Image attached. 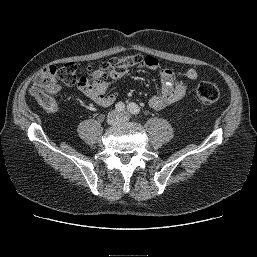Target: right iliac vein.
<instances>
[{
  "mask_svg": "<svg viewBox=\"0 0 257 257\" xmlns=\"http://www.w3.org/2000/svg\"><path fill=\"white\" fill-rule=\"evenodd\" d=\"M118 122V116L116 113H111L107 118V123L109 125H114Z\"/></svg>",
  "mask_w": 257,
  "mask_h": 257,
  "instance_id": "right-iliac-vein-1",
  "label": "right iliac vein"
}]
</instances>
